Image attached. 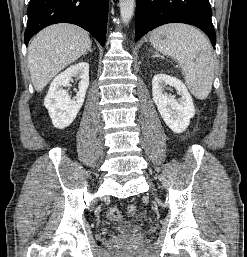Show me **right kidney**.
Returning a JSON list of instances; mask_svg holds the SVG:
<instances>
[{
	"label": "right kidney",
	"instance_id": "right-kidney-1",
	"mask_svg": "<svg viewBox=\"0 0 247 257\" xmlns=\"http://www.w3.org/2000/svg\"><path fill=\"white\" fill-rule=\"evenodd\" d=\"M72 77L80 79L75 99H71L68 92L63 89L69 86ZM88 86L89 64L87 62L72 65L53 79L44 99V105L56 128H66L75 120L84 103Z\"/></svg>",
	"mask_w": 247,
	"mask_h": 257
}]
</instances>
